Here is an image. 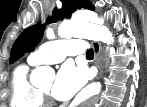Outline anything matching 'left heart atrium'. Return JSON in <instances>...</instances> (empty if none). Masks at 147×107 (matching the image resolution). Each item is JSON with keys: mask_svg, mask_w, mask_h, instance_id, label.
Segmentation results:
<instances>
[{"mask_svg": "<svg viewBox=\"0 0 147 107\" xmlns=\"http://www.w3.org/2000/svg\"><path fill=\"white\" fill-rule=\"evenodd\" d=\"M87 78L84 67L66 64L58 72L52 94L58 100H69L82 88Z\"/></svg>", "mask_w": 147, "mask_h": 107, "instance_id": "1", "label": "left heart atrium"}]
</instances>
